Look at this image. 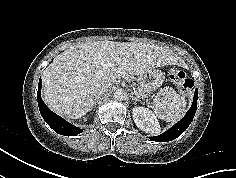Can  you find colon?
Listing matches in <instances>:
<instances>
[{
    "label": "colon",
    "instance_id": "1",
    "mask_svg": "<svg viewBox=\"0 0 236 178\" xmlns=\"http://www.w3.org/2000/svg\"><path fill=\"white\" fill-rule=\"evenodd\" d=\"M168 77L177 84L179 92L183 95H187L194 87L193 79L181 70L171 69Z\"/></svg>",
    "mask_w": 236,
    "mask_h": 178
}]
</instances>
